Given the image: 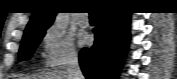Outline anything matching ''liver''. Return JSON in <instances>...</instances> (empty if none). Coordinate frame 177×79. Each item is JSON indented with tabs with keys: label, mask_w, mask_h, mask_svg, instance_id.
Here are the masks:
<instances>
[{
	"label": "liver",
	"mask_w": 177,
	"mask_h": 79,
	"mask_svg": "<svg viewBox=\"0 0 177 79\" xmlns=\"http://www.w3.org/2000/svg\"><path fill=\"white\" fill-rule=\"evenodd\" d=\"M20 79H68L65 71L51 70L41 74H34L31 76H23Z\"/></svg>",
	"instance_id": "obj_1"
}]
</instances>
